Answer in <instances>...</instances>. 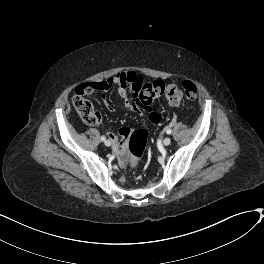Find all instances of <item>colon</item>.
I'll list each match as a JSON object with an SVG mask.
<instances>
[{
	"label": "colon",
	"mask_w": 264,
	"mask_h": 264,
	"mask_svg": "<svg viewBox=\"0 0 264 264\" xmlns=\"http://www.w3.org/2000/svg\"><path fill=\"white\" fill-rule=\"evenodd\" d=\"M95 89L96 85L83 84L78 86L73 93L72 103L87 125H96L100 121V114L94 109L92 103L88 100L89 96ZM198 90L195 83L191 80H184L181 86L176 84H164L161 82H143L135 96V102L139 106L148 107L158 97H165L169 102L180 103L183 100H194ZM148 141V135L143 130H135L131 133L128 141V149L131 157L128 161V167L131 170L139 167L144 154L145 146Z\"/></svg>",
	"instance_id": "colon-1"
}]
</instances>
